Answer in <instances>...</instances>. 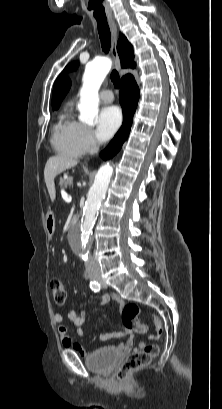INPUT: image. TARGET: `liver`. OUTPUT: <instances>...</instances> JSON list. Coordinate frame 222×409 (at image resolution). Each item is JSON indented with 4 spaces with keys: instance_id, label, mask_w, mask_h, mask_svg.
<instances>
[{
    "instance_id": "liver-1",
    "label": "liver",
    "mask_w": 222,
    "mask_h": 409,
    "mask_svg": "<svg viewBox=\"0 0 222 409\" xmlns=\"http://www.w3.org/2000/svg\"><path fill=\"white\" fill-rule=\"evenodd\" d=\"M77 164L78 161L76 159L63 155L52 156L47 160L44 169V179L52 202L55 200L56 197V190L54 184L55 177L61 174L62 172L66 171L67 169L76 166Z\"/></svg>"
}]
</instances>
